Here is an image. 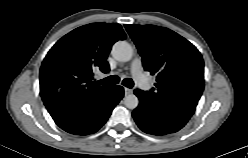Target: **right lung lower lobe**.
Here are the masks:
<instances>
[{
  "label": "right lung lower lobe",
  "instance_id": "right-lung-lower-lobe-1",
  "mask_svg": "<svg viewBox=\"0 0 248 158\" xmlns=\"http://www.w3.org/2000/svg\"><path fill=\"white\" fill-rule=\"evenodd\" d=\"M123 95L124 90L121 86H111L87 104L51 116L55 123L68 133L92 134L105 124Z\"/></svg>",
  "mask_w": 248,
  "mask_h": 158
}]
</instances>
